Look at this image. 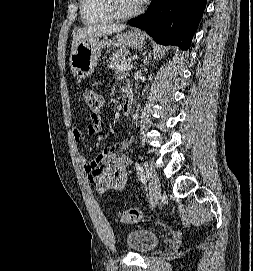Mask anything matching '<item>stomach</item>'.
Listing matches in <instances>:
<instances>
[{
  "mask_svg": "<svg viewBox=\"0 0 253 271\" xmlns=\"http://www.w3.org/2000/svg\"><path fill=\"white\" fill-rule=\"evenodd\" d=\"M144 44V35L138 30L117 34L112 39H108L106 36L103 39L99 37L87 38L78 42L71 52V71L81 79L87 78L93 73L97 60L105 46L113 45L124 49L126 47L139 48Z\"/></svg>",
  "mask_w": 253,
  "mask_h": 271,
  "instance_id": "0dacf381",
  "label": "stomach"
}]
</instances>
